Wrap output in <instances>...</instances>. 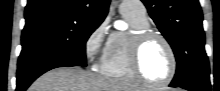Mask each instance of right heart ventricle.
Listing matches in <instances>:
<instances>
[{
  "label": "right heart ventricle",
  "instance_id": "right-heart-ventricle-1",
  "mask_svg": "<svg viewBox=\"0 0 220 91\" xmlns=\"http://www.w3.org/2000/svg\"><path fill=\"white\" fill-rule=\"evenodd\" d=\"M131 30L117 31L111 34L105 53L100 62V73L104 76L128 83L136 82L128 60L129 39L132 34L148 30L147 19H139L131 15H124Z\"/></svg>",
  "mask_w": 220,
  "mask_h": 91
}]
</instances>
